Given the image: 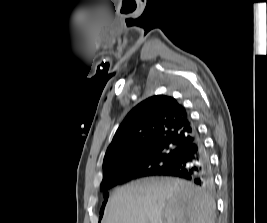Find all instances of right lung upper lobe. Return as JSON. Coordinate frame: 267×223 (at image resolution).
<instances>
[{
  "label": "right lung upper lobe",
  "mask_w": 267,
  "mask_h": 223,
  "mask_svg": "<svg viewBox=\"0 0 267 223\" xmlns=\"http://www.w3.org/2000/svg\"><path fill=\"white\" fill-rule=\"evenodd\" d=\"M196 137L189 114L176 99L157 95L142 101L126 116L106 151L101 186L109 177L137 171L135 163L161 147L183 151Z\"/></svg>",
  "instance_id": "cb5924a9"
}]
</instances>
